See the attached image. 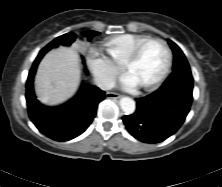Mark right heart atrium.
Returning <instances> with one entry per match:
<instances>
[{"label":"right heart atrium","instance_id":"1","mask_svg":"<svg viewBox=\"0 0 222 187\" xmlns=\"http://www.w3.org/2000/svg\"><path fill=\"white\" fill-rule=\"evenodd\" d=\"M86 64L94 80L102 88L111 87L121 72L120 66L102 55L95 47L87 51Z\"/></svg>","mask_w":222,"mask_h":187}]
</instances>
